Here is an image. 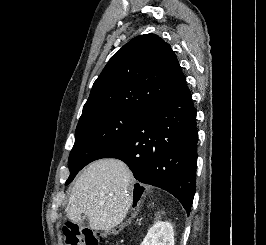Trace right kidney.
Listing matches in <instances>:
<instances>
[{"mask_svg": "<svg viewBox=\"0 0 266 245\" xmlns=\"http://www.w3.org/2000/svg\"><path fill=\"white\" fill-rule=\"evenodd\" d=\"M162 221H157L151 229H149L145 239H143L141 245H159V229L158 225Z\"/></svg>", "mask_w": 266, "mask_h": 245, "instance_id": "obj_1", "label": "right kidney"}]
</instances>
